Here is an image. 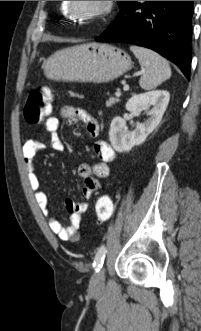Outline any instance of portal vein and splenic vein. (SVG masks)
Wrapping results in <instances>:
<instances>
[{
	"label": "portal vein and splenic vein",
	"instance_id": "18ae733b",
	"mask_svg": "<svg viewBox=\"0 0 201 331\" xmlns=\"http://www.w3.org/2000/svg\"><path fill=\"white\" fill-rule=\"evenodd\" d=\"M139 74H141V72H140ZM123 90H124V91H128V90H129V86H128L127 84H125V83H124ZM116 96H120V92H117V93H116Z\"/></svg>",
	"mask_w": 201,
	"mask_h": 331
}]
</instances>
